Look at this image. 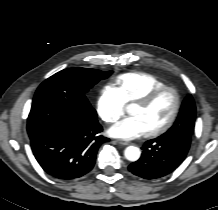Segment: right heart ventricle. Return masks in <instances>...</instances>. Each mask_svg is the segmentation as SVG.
<instances>
[{"mask_svg": "<svg viewBox=\"0 0 218 210\" xmlns=\"http://www.w3.org/2000/svg\"><path fill=\"white\" fill-rule=\"evenodd\" d=\"M164 85L163 81L152 74L129 72L117 76L111 87L119 93L125 104H129Z\"/></svg>", "mask_w": 218, "mask_h": 210, "instance_id": "e07e8e85", "label": "right heart ventricle"}]
</instances>
